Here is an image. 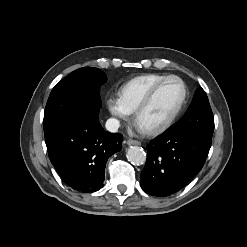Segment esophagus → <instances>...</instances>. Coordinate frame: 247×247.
<instances>
[{
    "label": "esophagus",
    "mask_w": 247,
    "mask_h": 247,
    "mask_svg": "<svg viewBox=\"0 0 247 247\" xmlns=\"http://www.w3.org/2000/svg\"><path fill=\"white\" fill-rule=\"evenodd\" d=\"M126 144H127V145H140L141 143H140L139 141H137V140L128 139V140L126 141Z\"/></svg>",
    "instance_id": "obj_1"
}]
</instances>
